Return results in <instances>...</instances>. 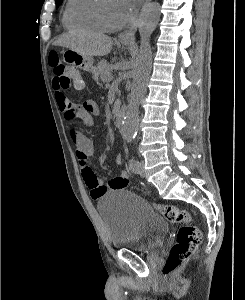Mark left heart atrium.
<instances>
[{
    "label": "left heart atrium",
    "mask_w": 245,
    "mask_h": 300,
    "mask_svg": "<svg viewBox=\"0 0 245 300\" xmlns=\"http://www.w3.org/2000/svg\"><path fill=\"white\" fill-rule=\"evenodd\" d=\"M121 8L126 16V19H129L135 12L136 7L141 0H119Z\"/></svg>",
    "instance_id": "left-heart-atrium-1"
}]
</instances>
